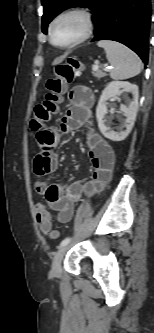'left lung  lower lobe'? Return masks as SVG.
Listing matches in <instances>:
<instances>
[{
	"instance_id": "obj_1",
	"label": "left lung lower lobe",
	"mask_w": 154,
	"mask_h": 333,
	"mask_svg": "<svg viewBox=\"0 0 154 333\" xmlns=\"http://www.w3.org/2000/svg\"><path fill=\"white\" fill-rule=\"evenodd\" d=\"M93 11L96 27L92 41L120 42L147 63L151 0H99Z\"/></svg>"
}]
</instances>
